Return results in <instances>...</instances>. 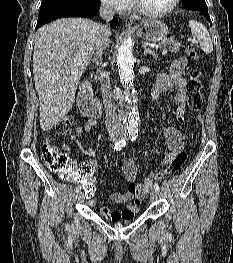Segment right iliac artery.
I'll return each instance as SVG.
<instances>
[{
  "mask_svg": "<svg viewBox=\"0 0 233 263\" xmlns=\"http://www.w3.org/2000/svg\"><path fill=\"white\" fill-rule=\"evenodd\" d=\"M126 143H127V141H126V139H122V140H120V141H118L117 143H115V145H114V150H122L125 146H126ZM81 190V187L80 186H77L76 188H75V192L76 193H78L79 191Z\"/></svg>",
  "mask_w": 233,
  "mask_h": 263,
  "instance_id": "1",
  "label": "right iliac artery"
}]
</instances>
